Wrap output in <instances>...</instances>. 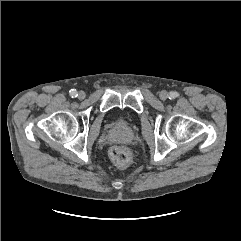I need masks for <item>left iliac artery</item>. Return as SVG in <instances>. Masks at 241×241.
Instances as JSON below:
<instances>
[{"label":"left iliac artery","instance_id":"obj_1","mask_svg":"<svg viewBox=\"0 0 241 241\" xmlns=\"http://www.w3.org/2000/svg\"><path fill=\"white\" fill-rule=\"evenodd\" d=\"M178 96L176 92H170L169 93V99H175Z\"/></svg>","mask_w":241,"mask_h":241}]
</instances>
